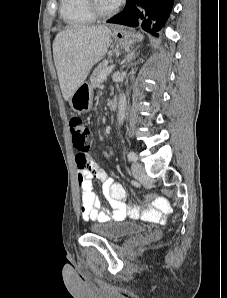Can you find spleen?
<instances>
[{"label": "spleen", "mask_w": 227, "mask_h": 298, "mask_svg": "<svg viewBox=\"0 0 227 298\" xmlns=\"http://www.w3.org/2000/svg\"><path fill=\"white\" fill-rule=\"evenodd\" d=\"M138 39H139L140 41H142V39H143V35L139 34V35H138Z\"/></svg>", "instance_id": "1"}]
</instances>
